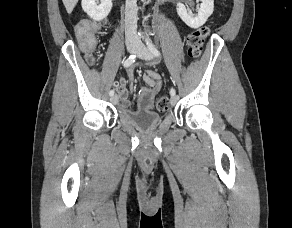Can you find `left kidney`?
<instances>
[{
  "label": "left kidney",
  "instance_id": "1",
  "mask_svg": "<svg viewBox=\"0 0 292 228\" xmlns=\"http://www.w3.org/2000/svg\"><path fill=\"white\" fill-rule=\"evenodd\" d=\"M200 8L198 14L193 15L189 9L181 2L177 3V13L186 25L191 28L197 29L205 24L208 17L213 13L214 0H200Z\"/></svg>",
  "mask_w": 292,
  "mask_h": 228
}]
</instances>
